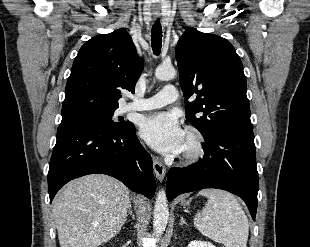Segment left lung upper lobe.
I'll use <instances>...</instances> for the list:
<instances>
[{
    "instance_id": "1",
    "label": "left lung upper lobe",
    "mask_w": 310,
    "mask_h": 247,
    "mask_svg": "<svg viewBox=\"0 0 310 247\" xmlns=\"http://www.w3.org/2000/svg\"><path fill=\"white\" fill-rule=\"evenodd\" d=\"M175 53L186 119L205 141L228 129L251 128L243 65L228 40L191 28L179 39ZM192 95L196 99L189 103Z\"/></svg>"
}]
</instances>
